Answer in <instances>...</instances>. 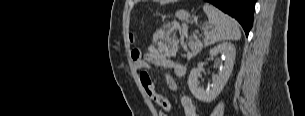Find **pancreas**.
<instances>
[{
    "mask_svg": "<svg viewBox=\"0 0 305 116\" xmlns=\"http://www.w3.org/2000/svg\"><path fill=\"white\" fill-rule=\"evenodd\" d=\"M188 47L190 48V51L187 50V47H185L187 50V58H192L195 57L203 49V44L198 39H190Z\"/></svg>",
    "mask_w": 305,
    "mask_h": 116,
    "instance_id": "pancreas-1",
    "label": "pancreas"
}]
</instances>
